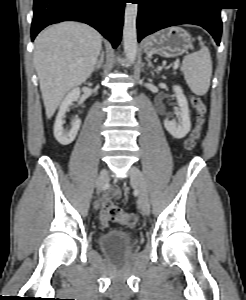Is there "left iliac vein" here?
Wrapping results in <instances>:
<instances>
[{
  "instance_id": "1",
  "label": "left iliac vein",
  "mask_w": 246,
  "mask_h": 300,
  "mask_svg": "<svg viewBox=\"0 0 246 300\" xmlns=\"http://www.w3.org/2000/svg\"><path fill=\"white\" fill-rule=\"evenodd\" d=\"M129 175L131 185L136 187L139 193L140 209L144 215H148L150 212V203L144 175L136 166H131Z\"/></svg>"
}]
</instances>
